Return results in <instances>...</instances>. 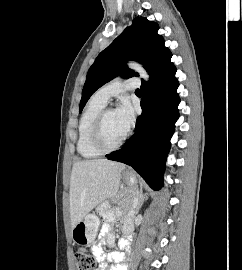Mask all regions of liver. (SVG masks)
Here are the masks:
<instances>
[{
	"label": "liver",
	"mask_w": 242,
	"mask_h": 270,
	"mask_svg": "<svg viewBox=\"0 0 242 270\" xmlns=\"http://www.w3.org/2000/svg\"><path fill=\"white\" fill-rule=\"evenodd\" d=\"M125 165L106 159L75 162L70 180L72 228L99 203L113 198L119 190Z\"/></svg>",
	"instance_id": "1"
}]
</instances>
